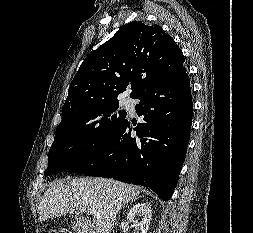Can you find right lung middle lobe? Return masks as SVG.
Segmentation results:
<instances>
[{
    "instance_id": "1",
    "label": "right lung middle lobe",
    "mask_w": 253,
    "mask_h": 233,
    "mask_svg": "<svg viewBox=\"0 0 253 233\" xmlns=\"http://www.w3.org/2000/svg\"><path fill=\"white\" fill-rule=\"evenodd\" d=\"M118 100L86 106L62 118L49 151L45 176L66 170L102 149L126 119Z\"/></svg>"
}]
</instances>
